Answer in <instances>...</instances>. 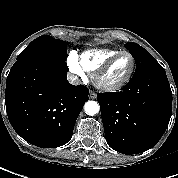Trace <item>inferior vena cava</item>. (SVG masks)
Returning <instances> with one entry per match:
<instances>
[{"label":"inferior vena cava","mask_w":178,"mask_h":178,"mask_svg":"<svg viewBox=\"0 0 178 178\" xmlns=\"http://www.w3.org/2000/svg\"><path fill=\"white\" fill-rule=\"evenodd\" d=\"M68 80H69V82L71 84H74V85L81 84L80 79L77 76L73 75V74H69L68 75Z\"/></svg>","instance_id":"1"}]
</instances>
